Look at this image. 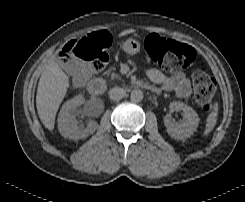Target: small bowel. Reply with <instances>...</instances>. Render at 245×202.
I'll return each mask as SVG.
<instances>
[{
	"label": "small bowel",
	"mask_w": 245,
	"mask_h": 202,
	"mask_svg": "<svg viewBox=\"0 0 245 202\" xmlns=\"http://www.w3.org/2000/svg\"><path fill=\"white\" fill-rule=\"evenodd\" d=\"M100 33L110 35L107 30ZM144 74L150 84L158 89V91L174 92L180 98H187L191 95V83L184 73L166 75L158 69L147 68L144 70Z\"/></svg>",
	"instance_id": "small-bowel-1"
}]
</instances>
